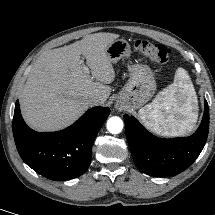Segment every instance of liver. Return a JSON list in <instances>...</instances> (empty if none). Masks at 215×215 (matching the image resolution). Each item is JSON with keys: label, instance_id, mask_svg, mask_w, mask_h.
<instances>
[{"label": "liver", "instance_id": "1", "mask_svg": "<svg viewBox=\"0 0 215 215\" xmlns=\"http://www.w3.org/2000/svg\"><path fill=\"white\" fill-rule=\"evenodd\" d=\"M118 37L95 33L43 52L33 65L20 99L27 124L38 131L60 130L88 109L90 96H98L104 103L111 94L107 84L115 79L106 48ZM81 55L86 58L92 77L84 72Z\"/></svg>", "mask_w": 215, "mask_h": 215}]
</instances>
